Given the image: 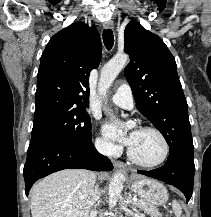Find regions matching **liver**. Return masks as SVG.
<instances>
[{
    "label": "liver",
    "mask_w": 211,
    "mask_h": 217,
    "mask_svg": "<svg viewBox=\"0 0 211 217\" xmlns=\"http://www.w3.org/2000/svg\"><path fill=\"white\" fill-rule=\"evenodd\" d=\"M96 174L82 169L53 173L31 189L32 217H89Z\"/></svg>",
    "instance_id": "obj_1"
}]
</instances>
